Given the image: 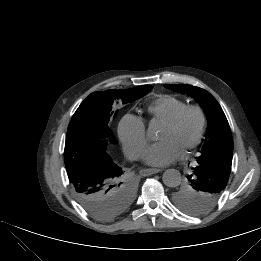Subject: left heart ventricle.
<instances>
[{
  "mask_svg": "<svg viewBox=\"0 0 261 261\" xmlns=\"http://www.w3.org/2000/svg\"><path fill=\"white\" fill-rule=\"evenodd\" d=\"M199 125V118L195 112H189L182 122L175 127L164 125L159 139H173L181 149L184 148L195 136Z\"/></svg>",
  "mask_w": 261,
  "mask_h": 261,
  "instance_id": "1",
  "label": "left heart ventricle"
}]
</instances>
